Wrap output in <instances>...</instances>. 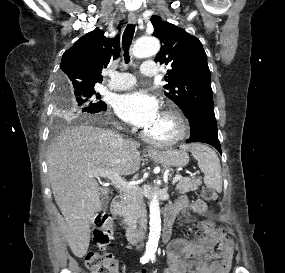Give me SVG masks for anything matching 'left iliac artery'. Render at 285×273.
Masks as SVG:
<instances>
[{"label": "left iliac artery", "instance_id": "44dca946", "mask_svg": "<svg viewBox=\"0 0 285 273\" xmlns=\"http://www.w3.org/2000/svg\"><path fill=\"white\" fill-rule=\"evenodd\" d=\"M150 259L152 260V262H154L155 261V255H151Z\"/></svg>", "mask_w": 285, "mask_h": 273}]
</instances>
